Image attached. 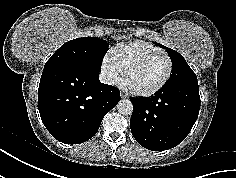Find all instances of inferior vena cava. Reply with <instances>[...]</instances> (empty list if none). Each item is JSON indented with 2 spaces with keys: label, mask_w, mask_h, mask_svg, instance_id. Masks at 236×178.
Instances as JSON below:
<instances>
[{
  "label": "inferior vena cava",
  "mask_w": 236,
  "mask_h": 178,
  "mask_svg": "<svg viewBox=\"0 0 236 178\" xmlns=\"http://www.w3.org/2000/svg\"><path fill=\"white\" fill-rule=\"evenodd\" d=\"M99 79L102 83L104 84H109V85H113L114 84V78L113 76L108 73V72H102L100 75H99Z\"/></svg>",
  "instance_id": "inferior-vena-cava-1"
}]
</instances>
